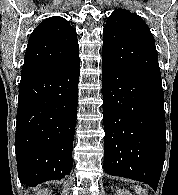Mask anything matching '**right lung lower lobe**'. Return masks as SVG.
Returning <instances> with one entry per match:
<instances>
[{
    "label": "right lung lower lobe",
    "instance_id": "obj_1",
    "mask_svg": "<svg viewBox=\"0 0 178 195\" xmlns=\"http://www.w3.org/2000/svg\"><path fill=\"white\" fill-rule=\"evenodd\" d=\"M79 67L21 78L15 153L22 183L33 187L71 172Z\"/></svg>",
    "mask_w": 178,
    "mask_h": 195
}]
</instances>
